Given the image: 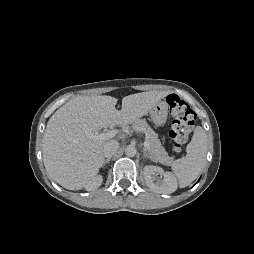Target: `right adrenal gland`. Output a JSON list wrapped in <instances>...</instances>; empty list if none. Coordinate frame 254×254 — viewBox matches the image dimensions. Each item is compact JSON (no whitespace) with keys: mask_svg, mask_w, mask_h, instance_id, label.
Returning a JSON list of instances; mask_svg holds the SVG:
<instances>
[{"mask_svg":"<svg viewBox=\"0 0 254 254\" xmlns=\"http://www.w3.org/2000/svg\"><path fill=\"white\" fill-rule=\"evenodd\" d=\"M110 160H111V158H108V159L104 160L102 167H104L107 163H109Z\"/></svg>","mask_w":254,"mask_h":254,"instance_id":"2a0ac1e0","label":"right adrenal gland"}]
</instances>
